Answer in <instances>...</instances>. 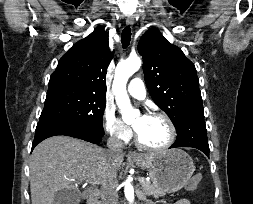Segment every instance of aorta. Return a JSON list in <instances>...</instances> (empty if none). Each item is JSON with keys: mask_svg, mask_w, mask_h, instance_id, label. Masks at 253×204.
Returning a JSON list of instances; mask_svg holds the SVG:
<instances>
[{"mask_svg": "<svg viewBox=\"0 0 253 204\" xmlns=\"http://www.w3.org/2000/svg\"><path fill=\"white\" fill-rule=\"evenodd\" d=\"M140 67L141 59L134 56L119 63L115 69L112 88L115 94L116 103L122 114V119L125 122L133 121L135 117L139 115V111L131 106L126 90V84L128 79L138 71ZM124 192L129 204H132L134 202V189L129 179L124 182Z\"/></svg>", "mask_w": 253, "mask_h": 204, "instance_id": "obj_1", "label": "aorta"}]
</instances>
